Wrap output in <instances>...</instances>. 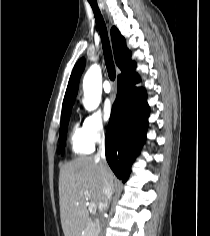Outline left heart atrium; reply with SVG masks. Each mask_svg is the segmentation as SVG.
Here are the masks:
<instances>
[{
	"mask_svg": "<svg viewBox=\"0 0 210 236\" xmlns=\"http://www.w3.org/2000/svg\"><path fill=\"white\" fill-rule=\"evenodd\" d=\"M113 112L112 102L110 100H106L103 105V116L107 121L111 118Z\"/></svg>",
	"mask_w": 210,
	"mask_h": 236,
	"instance_id": "39dd6f15",
	"label": "left heart atrium"
}]
</instances>
